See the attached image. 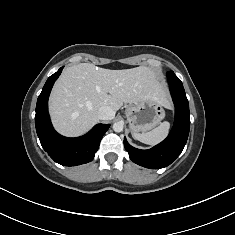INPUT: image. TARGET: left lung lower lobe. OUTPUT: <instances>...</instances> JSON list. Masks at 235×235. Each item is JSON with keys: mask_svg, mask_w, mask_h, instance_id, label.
I'll return each mask as SVG.
<instances>
[{"mask_svg": "<svg viewBox=\"0 0 235 235\" xmlns=\"http://www.w3.org/2000/svg\"><path fill=\"white\" fill-rule=\"evenodd\" d=\"M167 79L175 105L174 126L168 137L148 150L134 148L124 138V147L130 159L150 169H160L170 165L182 152L190 130L189 103L183 84L174 73H167Z\"/></svg>", "mask_w": 235, "mask_h": 235, "instance_id": "1", "label": "left lung lower lobe"}]
</instances>
